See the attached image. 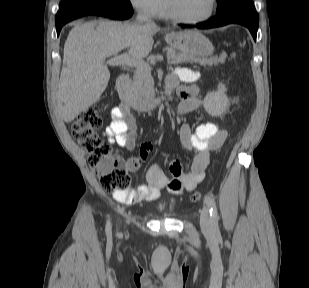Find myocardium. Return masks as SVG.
<instances>
[{
	"mask_svg": "<svg viewBox=\"0 0 309 288\" xmlns=\"http://www.w3.org/2000/svg\"><path fill=\"white\" fill-rule=\"evenodd\" d=\"M216 8H217V0H210V9L206 15L195 19H188L176 14L171 6V1L165 0V12L167 16L176 22L186 25H198L208 21L214 15Z\"/></svg>",
	"mask_w": 309,
	"mask_h": 288,
	"instance_id": "1",
	"label": "myocardium"
}]
</instances>
